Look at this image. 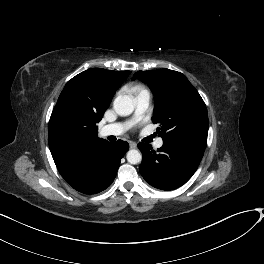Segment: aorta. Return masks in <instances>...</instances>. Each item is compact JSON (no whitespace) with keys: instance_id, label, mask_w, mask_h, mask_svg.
<instances>
[{"instance_id":"aorta-1","label":"aorta","mask_w":264,"mask_h":264,"mask_svg":"<svg viewBox=\"0 0 264 264\" xmlns=\"http://www.w3.org/2000/svg\"><path fill=\"white\" fill-rule=\"evenodd\" d=\"M115 112L120 116L130 115L135 108L134 100L129 95H119L115 98L113 104ZM127 161L130 164H138L142 160L140 151L131 149L127 152Z\"/></svg>"}]
</instances>
